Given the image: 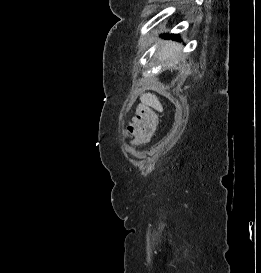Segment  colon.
Wrapping results in <instances>:
<instances>
[{
    "label": "colon",
    "mask_w": 261,
    "mask_h": 273,
    "mask_svg": "<svg viewBox=\"0 0 261 273\" xmlns=\"http://www.w3.org/2000/svg\"><path fill=\"white\" fill-rule=\"evenodd\" d=\"M157 125V115L149 107L139 105L133 121L129 124L126 136L134 145L147 142Z\"/></svg>",
    "instance_id": "obj_1"
}]
</instances>
